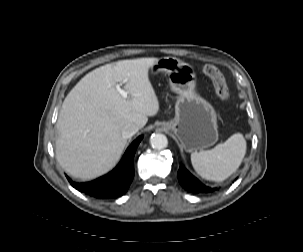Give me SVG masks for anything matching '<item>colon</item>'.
<instances>
[{
  "mask_svg": "<svg viewBox=\"0 0 303 252\" xmlns=\"http://www.w3.org/2000/svg\"><path fill=\"white\" fill-rule=\"evenodd\" d=\"M202 72L204 75L211 79L218 97L223 102H228L230 99V95L226 80L222 72L215 66L208 64L202 67Z\"/></svg>",
  "mask_w": 303,
  "mask_h": 252,
  "instance_id": "1",
  "label": "colon"
}]
</instances>
